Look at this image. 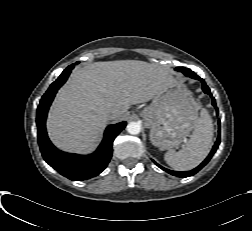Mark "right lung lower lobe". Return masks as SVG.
<instances>
[{
	"label": "right lung lower lobe",
	"instance_id": "98d812e1",
	"mask_svg": "<svg viewBox=\"0 0 252 231\" xmlns=\"http://www.w3.org/2000/svg\"><path fill=\"white\" fill-rule=\"evenodd\" d=\"M74 64L68 66L42 96L37 108L38 143L44 160L63 176L75 181L86 180L100 174L112 157V144L116 136L125 128L126 122L107 127L103 141L90 155L65 153L50 142L46 132V116L58 89L65 83Z\"/></svg>",
	"mask_w": 252,
	"mask_h": 231
}]
</instances>
